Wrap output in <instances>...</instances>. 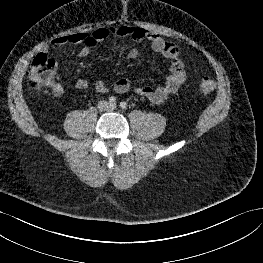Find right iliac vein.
I'll list each match as a JSON object with an SVG mask.
<instances>
[{
    "label": "right iliac vein",
    "instance_id": "63e3f726",
    "mask_svg": "<svg viewBox=\"0 0 263 263\" xmlns=\"http://www.w3.org/2000/svg\"><path fill=\"white\" fill-rule=\"evenodd\" d=\"M99 107H100L101 109H103V110H106L107 108H109V105H108L107 102H101V103L99 104Z\"/></svg>",
    "mask_w": 263,
    "mask_h": 263
}]
</instances>
